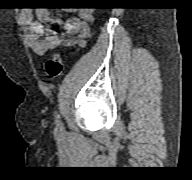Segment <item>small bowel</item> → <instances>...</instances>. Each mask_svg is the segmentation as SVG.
<instances>
[{
	"mask_svg": "<svg viewBox=\"0 0 192 180\" xmlns=\"http://www.w3.org/2000/svg\"><path fill=\"white\" fill-rule=\"evenodd\" d=\"M92 12L82 9L76 16L69 18L52 17L47 9L40 8L35 14L30 9L20 13V22L25 30L28 46L38 56H44L48 51L60 46L77 45L84 47L91 37L90 21ZM44 24L63 26L71 38H63L53 29H46Z\"/></svg>",
	"mask_w": 192,
	"mask_h": 180,
	"instance_id": "obj_1",
	"label": "small bowel"
}]
</instances>
